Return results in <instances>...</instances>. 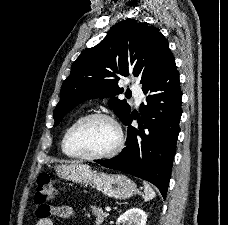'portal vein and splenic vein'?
<instances>
[{"label":"portal vein and splenic vein","instance_id":"18ae733b","mask_svg":"<svg viewBox=\"0 0 228 225\" xmlns=\"http://www.w3.org/2000/svg\"><path fill=\"white\" fill-rule=\"evenodd\" d=\"M105 211H111L110 207H106Z\"/></svg>","mask_w":228,"mask_h":225}]
</instances>
